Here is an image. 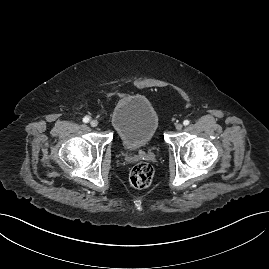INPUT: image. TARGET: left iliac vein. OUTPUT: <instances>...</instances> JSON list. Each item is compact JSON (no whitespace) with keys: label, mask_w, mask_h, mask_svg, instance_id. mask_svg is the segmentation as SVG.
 Masks as SVG:
<instances>
[{"label":"left iliac vein","mask_w":269,"mask_h":269,"mask_svg":"<svg viewBox=\"0 0 269 269\" xmlns=\"http://www.w3.org/2000/svg\"><path fill=\"white\" fill-rule=\"evenodd\" d=\"M175 128H176V130H181L182 128H183V125L182 124H176L175 125Z\"/></svg>","instance_id":"left-iliac-vein-1"}]
</instances>
